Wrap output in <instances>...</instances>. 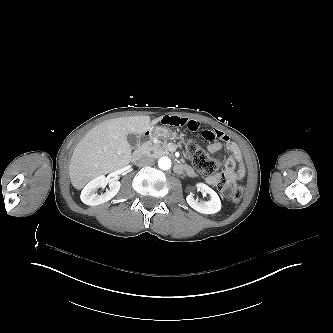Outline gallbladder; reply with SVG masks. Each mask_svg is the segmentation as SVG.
I'll use <instances>...</instances> for the list:
<instances>
[{
	"label": "gallbladder",
	"instance_id": "obj_1",
	"mask_svg": "<svg viewBox=\"0 0 333 333\" xmlns=\"http://www.w3.org/2000/svg\"><path fill=\"white\" fill-rule=\"evenodd\" d=\"M127 141L129 142V144L133 150H135L137 148L138 138L135 135L130 134L127 137Z\"/></svg>",
	"mask_w": 333,
	"mask_h": 333
}]
</instances>
